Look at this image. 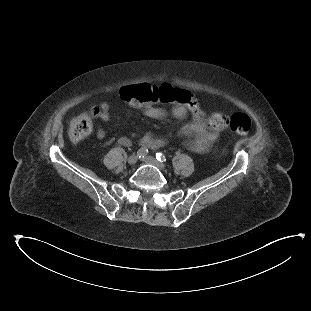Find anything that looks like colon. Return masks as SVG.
<instances>
[{
	"label": "colon",
	"mask_w": 311,
	"mask_h": 311,
	"mask_svg": "<svg viewBox=\"0 0 311 311\" xmlns=\"http://www.w3.org/2000/svg\"><path fill=\"white\" fill-rule=\"evenodd\" d=\"M119 98L123 102L130 100L139 101L132 103V106H136L141 102L183 105L191 115L206 121V125L209 128L221 131V128L224 126V115L215 114L206 119L205 113L197 99L186 90H179L173 87L159 88L146 84L137 88L121 89ZM99 112L100 109L98 107L92 106L71 121L68 136L73 143H78L90 135L93 129V117ZM250 123V119L246 114L235 112L233 113L231 130L238 134H244L248 130Z\"/></svg>",
	"instance_id": "colon-1"
}]
</instances>
